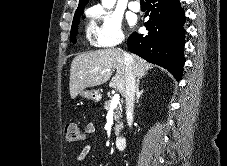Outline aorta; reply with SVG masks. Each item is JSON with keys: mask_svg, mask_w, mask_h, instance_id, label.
<instances>
[{"mask_svg": "<svg viewBox=\"0 0 227 166\" xmlns=\"http://www.w3.org/2000/svg\"><path fill=\"white\" fill-rule=\"evenodd\" d=\"M116 0H102L103 6L107 8H112L115 4Z\"/></svg>", "mask_w": 227, "mask_h": 166, "instance_id": "762f6f07", "label": "aorta"}]
</instances>
